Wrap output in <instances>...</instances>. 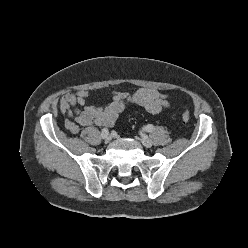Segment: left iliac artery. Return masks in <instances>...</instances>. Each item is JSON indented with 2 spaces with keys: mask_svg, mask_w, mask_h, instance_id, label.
<instances>
[{
  "mask_svg": "<svg viewBox=\"0 0 248 248\" xmlns=\"http://www.w3.org/2000/svg\"><path fill=\"white\" fill-rule=\"evenodd\" d=\"M144 130L147 132H152L154 130V126L152 124H148L144 127Z\"/></svg>",
  "mask_w": 248,
  "mask_h": 248,
  "instance_id": "obj_1",
  "label": "left iliac artery"
}]
</instances>
